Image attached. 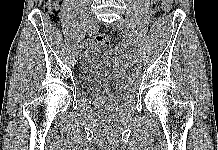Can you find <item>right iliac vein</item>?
I'll return each mask as SVG.
<instances>
[{
	"instance_id": "right-iliac-vein-1",
	"label": "right iliac vein",
	"mask_w": 218,
	"mask_h": 150,
	"mask_svg": "<svg viewBox=\"0 0 218 150\" xmlns=\"http://www.w3.org/2000/svg\"><path fill=\"white\" fill-rule=\"evenodd\" d=\"M98 21L96 18H91L88 25V31H95L97 27ZM82 45L85 47L88 45L87 40H82Z\"/></svg>"
}]
</instances>
